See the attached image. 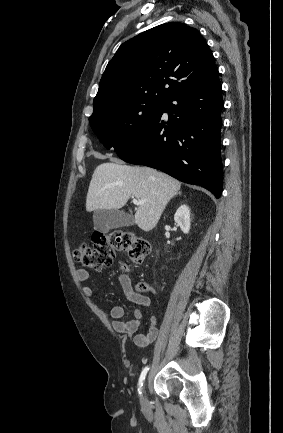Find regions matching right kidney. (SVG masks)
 Segmentation results:
<instances>
[{
	"label": "right kidney",
	"mask_w": 283,
	"mask_h": 433,
	"mask_svg": "<svg viewBox=\"0 0 283 433\" xmlns=\"http://www.w3.org/2000/svg\"><path fill=\"white\" fill-rule=\"evenodd\" d=\"M174 220L176 224L181 228L183 233H188L190 230V209L187 205H181L175 215Z\"/></svg>",
	"instance_id": "ca27d5eb"
}]
</instances>
